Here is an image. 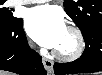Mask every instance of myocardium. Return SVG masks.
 I'll return each instance as SVG.
<instances>
[{
    "mask_svg": "<svg viewBox=\"0 0 102 75\" xmlns=\"http://www.w3.org/2000/svg\"><path fill=\"white\" fill-rule=\"evenodd\" d=\"M68 30L76 39V47L72 52L63 53L58 50L54 51L55 56L63 61H73L79 58L85 50L86 42L82 31L74 25L67 26Z\"/></svg>",
    "mask_w": 102,
    "mask_h": 75,
    "instance_id": "myocardium-1",
    "label": "myocardium"
}]
</instances>
